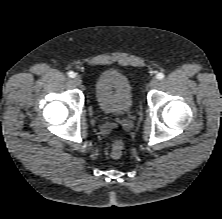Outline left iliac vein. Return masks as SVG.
<instances>
[{"label":"left iliac vein","mask_w":222,"mask_h":219,"mask_svg":"<svg viewBox=\"0 0 222 219\" xmlns=\"http://www.w3.org/2000/svg\"><path fill=\"white\" fill-rule=\"evenodd\" d=\"M157 85H158V80L156 78H153L149 83L150 88H155Z\"/></svg>","instance_id":"4c4485c4"}]
</instances>
